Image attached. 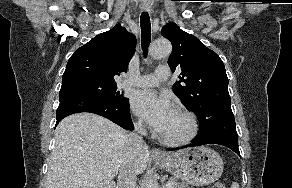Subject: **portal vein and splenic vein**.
<instances>
[{"instance_id":"18ae733b","label":"portal vein and splenic vein","mask_w":292,"mask_h":188,"mask_svg":"<svg viewBox=\"0 0 292 188\" xmlns=\"http://www.w3.org/2000/svg\"><path fill=\"white\" fill-rule=\"evenodd\" d=\"M174 183H175V182H174L173 180H168V181H167V184H166V187H167V188H172L173 185H174Z\"/></svg>"}]
</instances>
